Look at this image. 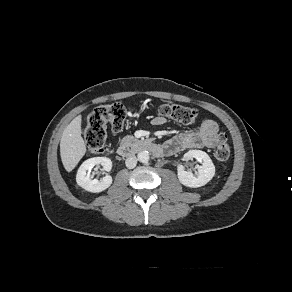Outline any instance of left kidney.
I'll list each match as a JSON object with an SVG mask.
<instances>
[{"mask_svg":"<svg viewBox=\"0 0 292 292\" xmlns=\"http://www.w3.org/2000/svg\"><path fill=\"white\" fill-rule=\"evenodd\" d=\"M195 158L201 163L197 167L198 174L194 176L191 172L185 171L183 165H178V179L179 181L187 187L197 188L207 184L215 174V166L208 156V154L201 150H190L184 154V160H192Z\"/></svg>","mask_w":292,"mask_h":292,"instance_id":"obj_1","label":"left kidney"}]
</instances>
